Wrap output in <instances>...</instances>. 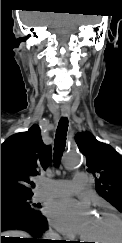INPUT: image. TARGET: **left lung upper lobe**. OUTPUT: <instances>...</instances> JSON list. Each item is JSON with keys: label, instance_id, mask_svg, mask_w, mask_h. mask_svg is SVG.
I'll use <instances>...</instances> for the list:
<instances>
[{"label": "left lung upper lobe", "instance_id": "left-lung-upper-lobe-1", "mask_svg": "<svg viewBox=\"0 0 122 243\" xmlns=\"http://www.w3.org/2000/svg\"><path fill=\"white\" fill-rule=\"evenodd\" d=\"M75 140L86 157L88 171L95 176L97 192L122 212V156L91 133H79Z\"/></svg>", "mask_w": 122, "mask_h": 243}]
</instances>
